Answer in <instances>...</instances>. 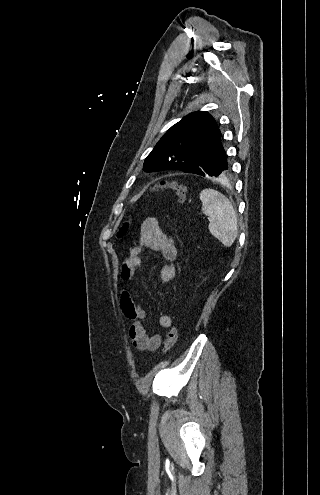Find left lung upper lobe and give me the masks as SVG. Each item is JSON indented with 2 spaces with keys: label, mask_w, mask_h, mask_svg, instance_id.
<instances>
[{
  "label": "left lung upper lobe",
  "mask_w": 320,
  "mask_h": 495,
  "mask_svg": "<svg viewBox=\"0 0 320 495\" xmlns=\"http://www.w3.org/2000/svg\"><path fill=\"white\" fill-rule=\"evenodd\" d=\"M214 118L207 112L190 113L173 125L146 157L144 170L185 171L221 140Z\"/></svg>",
  "instance_id": "5c2ea615"
}]
</instances>
